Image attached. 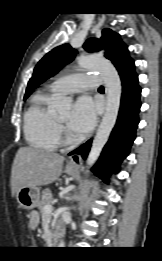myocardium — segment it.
Returning <instances> with one entry per match:
<instances>
[{
    "label": "myocardium",
    "mask_w": 162,
    "mask_h": 261,
    "mask_svg": "<svg viewBox=\"0 0 162 261\" xmlns=\"http://www.w3.org/2000/svg\"><path fill=\"white\" fill-rule=\"evenodd\" d=\"M56 123L58 126V130L66 135H68L67 128L64 123H62L57 117H56Z\"/></svg>",
    "instance_id": "f54148a6"
}]
</instances>
